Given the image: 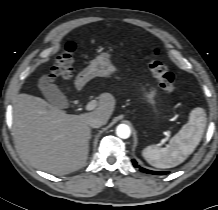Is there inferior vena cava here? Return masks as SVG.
Here are the masks:
<instances>
[{"label": "inferior vena cava", "instance_id": "inferior-vena-cava-1", "mask_svg": "<svg viewBox=\"0 0 218 210\" xmlns=\"http://www.w3.org/2000/svg\"><path fill=\"white\" fill-rule=\"evenodd\" d=\"M106 122H107V120H105L101 117L95 116V117H92L89 119L88 125L92 128H99V127L105 125Z\"/></svg>", "mask_w": 218, "mask_h": 210}]
</instances>
